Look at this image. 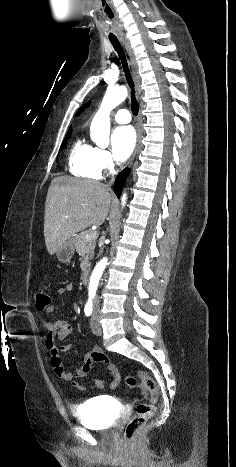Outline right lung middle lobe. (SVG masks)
Instances as JSON below:
<instances>
[{"mask_svg":"<svg viewBox=\"0 0 236 467\" xmlns=\"http://www.w3.org/2000/svg\"><path fill=\"white\" fill-rule=\"evenodd\" d=\"M69 136H70V133H68V134L65 136V139H64V141H63V143H62V146H61V149H63V147L65 146V144H66V142H67Z\"/></svg>","mask_w":236,"mask_h":467,"instance_id":"right-lung-middle-lobe-1","label":"right lung middle lobe"}]
</instances>
